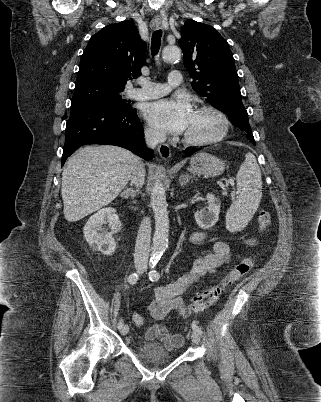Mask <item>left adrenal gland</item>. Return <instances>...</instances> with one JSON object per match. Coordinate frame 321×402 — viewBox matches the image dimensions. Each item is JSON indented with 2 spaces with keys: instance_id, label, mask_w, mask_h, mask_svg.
I'll use <instances>...</instances> for the list:
<instances>
[{
  "instance_id": "1",
  "label": "left adrenal gland",
  "mask_w": 321,
  "mask_h": 402,
  "mask_svg": "<svg viewBox=\"0 0 321 402\" xmlns=\"http://www.w3.org/2000/svg\"><path fill=\"white\" fill-rule=\"evenodd\" d=\"M191 178H195V176L189 175V174H183L180 176L179 178V183L181 186L187 184V182L189 181V179Z\"/></svg>"
}]
</instances>
